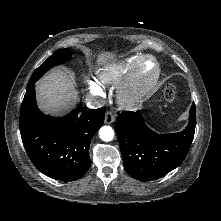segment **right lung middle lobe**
I'll list each match as a JSON object with an SVG mask.
<instances>
[{
	"mask_svg": "<svg viewBox=\"0 0 221 221\" xmlns=\"http://www.w3.org/2000/svg\"><path fill=\"white\" fill-rule=\"evenodd\" d=\"M71 50L68 48L55 52L52 56L47 58L42 65H40L31 76L27 88L35 83L47 70L57 64H61L69 60Z\"/></svg>",
	"mask_w": 221,
	"mask_h": 221,
	"instance_id": "obj_1",
	"label": "right lung middle lobe"
}]
</instances>
